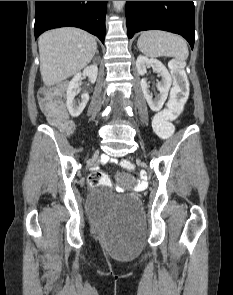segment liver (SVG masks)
<instances>
[{
	"label": "liver",
	"instance_id": "1",
	"mask_svg": "<svg viewBox=\"0 0 233 295\" xmlns=\"http://www.w3.org/2000/svg\"><path fill=\"white\" fill-rule=\"evenodd\" d=\"M40 73L45 86L69 78L89 64L97 51L91 34L78 28H58L38 40Z\"/></svg>",
	"mask_w": 233,
	"mask_h": 295
}]
</instances>
